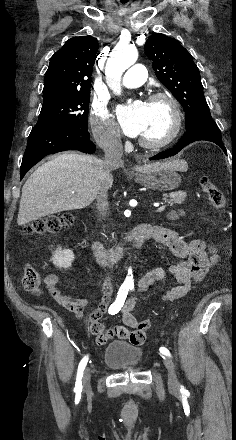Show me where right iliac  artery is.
Here are the masks:
<instances>
[{
	"label": "right iliac artery",
	"instance_id": "obj_1",
	"mask_svg": "<svg viewBox=\"0 0 236 440\" xmlns=\"http://www.w3.org/2000/svg\"><path fill=\"white\" fill-rule=\"evenodd\" d=\"M129 289H130V286H128V285H122L120 287V289L117 293L116 300L109 307V310H108L109 314L115 315L120 311V309L124 305V302L126 300ZM87 362H88V356H85L79 363L78 370H77L76 383H75V388H74V391L76 393L82 392V381L81 380H82L83 372H84V369L87 365Z\"/></svg>",
	"mask_w": 236,
	"mask_h": 440
}]
</instances>
